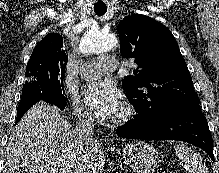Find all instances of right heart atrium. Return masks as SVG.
Returning <instances> with one entry per match:
<instances>
[{
    "instance_id": "right-heart-atrium-1",
    "label": "right heart atrium",
    "mask_w": 219,
    "mask_h": 173,
    "mask_svg": "<svg viewBox=\"0 0 219 173\" xmlns=\"http://www.w3.org/2000/svg\"><path fill=\"white\" fill-rule=\"evenodd\" d=\"M69 101L71 108L78 120L82 122H91L93 120L92 112L71 91L69 92Z\"/></svg>"
}]
</instances>
